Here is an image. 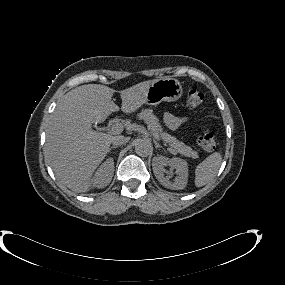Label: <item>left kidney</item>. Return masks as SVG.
<instances>
[{"mask_svg": "<svg viewBox=\"0 0 285 285\" xmlns=\"http://www.w3.org/2000/svg\"><path fill=\"white\" fill-rule=\"evenodd\" d=\"M166 166L176 170L177 177L173 181H171L168 176H164V173H166L164 167ZM152 168L157 180L166 188L181 190L186 187L188 180V165L185 160L180 158L169 159L164 156H158L153 159Z\"/></svg>", "mask_w": 285, "mask_h": 285, "instance_id": "left-kidney-1", "label": "left kidney"}]
</instances>
